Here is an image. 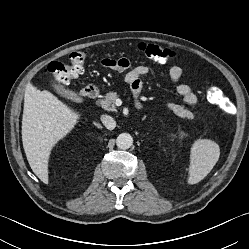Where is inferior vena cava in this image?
<instances>
[{"label": "inferior vena cava", "mask_w": 249, "mask_h": 249, "mask_svg": "<svg viewBox=\"0 0 249 249\" xmlns=\"http://www.w3.org/2000/svg\"><path fill=\"white\" fill-rule=\"evenodd\" d=\"M101 121L103 125L109 130H113L116 127L115 120L109 115H102Z\"/></svg>", "instance_id": "obj_1"}]
</instances>
